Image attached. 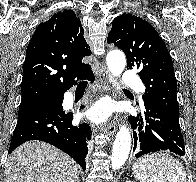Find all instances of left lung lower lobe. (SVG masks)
<instances>
[{"instance_id":"obj_1","label":"left lung lower lobe","mask_w":196,"mask_h":182,"mask_svg":"<svg viewBox=\"0 0 196 182\" xmlns=\"http://www.w3.org/2000/svg\"><path fill=\"white\" fill-rule=\"evenodd\" d=\"M145 109L137 117L130 116L134 132L135 157L157 152L170 151L180 156L185 154L184 140L179 118L151 99L144 100Z\"/></svg>"}]
</instances>
